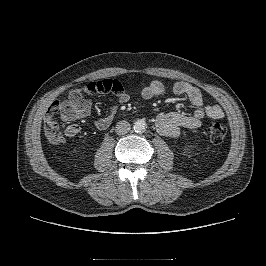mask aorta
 <instances>
[{"label": "aorta", "instance_id": "1", "mask_svg": "<svg viewBox=\"0 0 266 266\" xmlns=\"http://www.w3.org/2000/svg\"><path fill=\"white\" fill-rule=\"evenodd\" d=\"M133 128H134L135 132L142 133L146 130L147 124L144 120L139 119V120L135 121Z\"/></svg>", "mask_w": 266, "mask_h": 266}]
</instances>
